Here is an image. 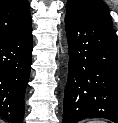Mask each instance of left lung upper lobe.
<instances>
[{
	"label": "left lung upper lobe",
	"mask_w": 118,
	"mask_h": 123,
	"mask_svg": "<svg viewBox=\"0 0 118 123\" xmlns=\"http://www.w3.org/2000/svg\"><path fill=\"white\" fill-rule=\"evenodd\" d=\"M66 16L87 22L112 26L109 8L103 0H68Z\"/></svg>",
	"instance_id": "5c2ea615"
}]
</instances>
